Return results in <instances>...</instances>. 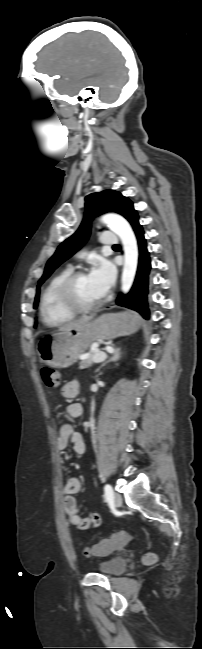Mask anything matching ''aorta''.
I'll use <instances>...</instances> for the list:
<instances>
[{
	"instance_id": "1",
	"label": "aorta",
	"mask_w": 202,
	"mask_h": 649,
	"mask_svg": "<svg viewBox=\"0 0 202 649\" xmlns=\"http://www.w3.org/2000/svg\"><path fill=\"white\" fill-rule=\"evenodd\" d=\"M101 221L121 239L124 250L121 289L127 293L133 284L138 264V246L135 234L130 224L121 215L106 214L101 218Z\"/></svg>"
}]
</instances>
